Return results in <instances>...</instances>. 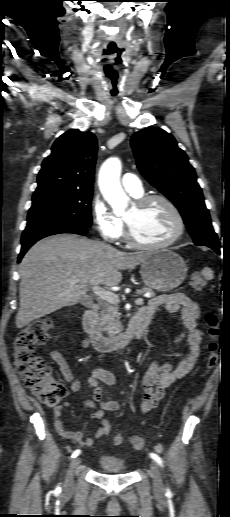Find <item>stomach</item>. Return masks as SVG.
Masks as SVG:
<instances>
[{
    "label": "stomach",
    "instance_id": "0dacf381",
    "mask_svg": "<svg viewBox=\"0 0 230 517\" xmlns=\"http://www.w3.org/2000/svg\"><path fill=\"white\" fill-rule=\"evenodd\" d=\"M140 274L148 287L168 292L184 281L187 266L177 253L160 249L149 253L147 259L141 264Z\"/></svg>",
    "mask_w": 230,
    "mask_h": 517
}]
</instances>
